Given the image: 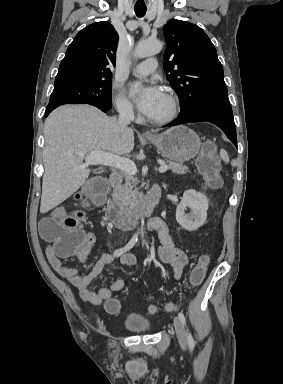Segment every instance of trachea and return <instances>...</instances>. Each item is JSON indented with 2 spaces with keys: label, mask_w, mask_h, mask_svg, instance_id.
<instances>
[{
  "label": "trachea",
  "mask_w": 283,
  "mask_h": 384,
  "mask_svg": "<svg viewBox=\"0 0 283 384\" xmlns=\"http://www.w3.org/2000/svg\"><path fill=\"white\" fill-rule=\"evenodd\" d=\"M134 10L138 17H144L147 8H134Z\"/></svg>",
  "instance_id": "obj_1"
}]
</instances>
